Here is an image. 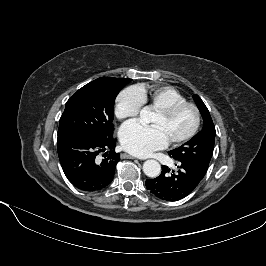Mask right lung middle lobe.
Segmentation results:
<instances>
[{"instance_id":"right-lung-middle-lobe-1","label":"right lung middle lobe","mask_w":266,"mask_h":266,"mask_svg":"<svg viewBox=\"0 0 266 266\" xmlns=\"http://www.w3.org/2000/svg\"><path fill=\"white\" fill-rule=\"evenodd\" d=\"M131 80L101 77L80 88L66 103L58 137L84 134L104 139L112 135L115 98Z\"/></svg>"}]
</instances>
